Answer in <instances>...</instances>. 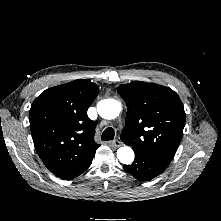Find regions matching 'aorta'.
<instances>
[{
  "label": "aorta",
  "instance_id": "aorta-1",
  "mask_svg": "<svg viewBox=\"0 0 221 221\" xmlns=\"http://www.w3.org/2000/svg\"><path fill=\"white\" fill-rule=\"evenodd\" d=\"M97 111L104 119H115L121 112V103L115 99H104L97 104ZM117 158L122 164L129 165L134 160V151L128 146L120 147Z\"/></svg>",
  "mask_w": 221,
  "mask_h": 221
}]
</instances>
